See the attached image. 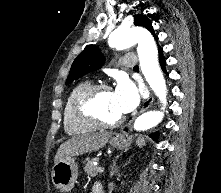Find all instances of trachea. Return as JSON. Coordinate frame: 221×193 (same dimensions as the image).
<instances>
[{"mask_svg":"<svg viewBox=\"0 0 221 193\" xmlns=\"http://www.w3.org/2000/svg\"><path fill=\"white\" fill-rule=\"evenodd\" d=\"M134 68H138V65L134 66Z\"/></svg>","mask_w":221,"mask_h":193,"instance_id":"3493384b","label":"trachea"}]
</instances>
